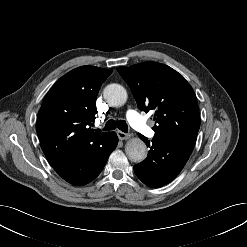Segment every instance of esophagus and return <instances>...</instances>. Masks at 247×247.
I'll use <instances>...</instances> for the list:
<instances>
[{
  "instance_id": "34e87169",
  "label": "esophagus",
  "mask_w": 247,
  "mask_h": 247,
  "mask_svg": "<svg viewBox=\"0 0 247 247\" xmlns=\"http://www.w3.org/2000/svg\"><path fill=\"white\" fill-rule=\"evenodd\" d=\"M117 136L120 140H127L131 137V134H128V133H124L122 131H117Z\"/></svg>"
}]
</instances>
